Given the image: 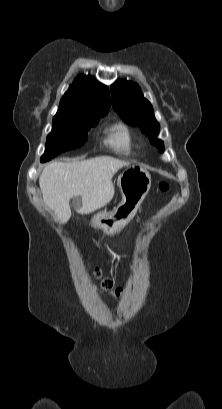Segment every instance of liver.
Listing matches in <instances>:
<instances>
[{"label": "liver", "instance_id": "6515ba94", "mask_svg": "<svg viewBox=\"0 0 222 409\" xmlns=\"http://www.w3.org/2000/svg\"><path fill=\"white\" fill-rule=\"evenodd\" d=\"M129 165L110 156L49 163L39 177L43 200L62 224L71 217L72 198H79L75 206L79 214H90L110 202L114 195V174Z\"/></svg>", "mask_w": 222, "mask_h": 409}]
</instances>
